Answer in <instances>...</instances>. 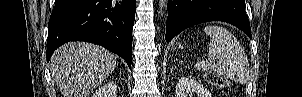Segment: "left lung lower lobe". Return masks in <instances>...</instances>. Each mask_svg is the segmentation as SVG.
I'll return each mask as SVG.
<instances>
[{"instance_id": "0a47b994", "label": "left lung lower lobe", "mask_w": 302, "mask_h": 97, "mask_svg": "<svg viewBox=\"0 0 302 97\" xmlns=\"http://www.w3.org/2000/svg\"><path fill=\"white\" fill-rule=\"evenodd\" d=\"M167 10L166 41L188 27L209 21L230 23L252 38L245 0H168Z\"/></svg>"}]
</instances>
